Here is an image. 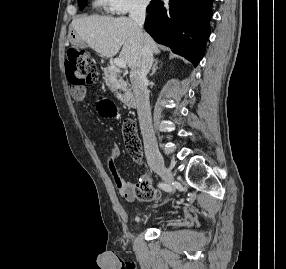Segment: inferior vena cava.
I'll return each mask as SVG.
<instances>
[{"mask_svg":"<svg viewBox=\"0 0 286 269\" xmlns=\"http://www.w3.org/2000/svg\"><path fill=\"white\" fill-rule=\"evenodd\" d=\"M145 16V3L135 4L130 10L129 18L135 22L139 33H142ZM141 55V60L137 67L131 69L130 80L136 98L137 113L144 142L145 155L147 161L151 162L161 158L152 128L149 91L147 89V74L153 63V55L146 47L142 48Z\"/></svg>","mask_w":286,"mask_h":269,"instance_id":"obj_1","label":"inferior vena cava"}]
</instances>
